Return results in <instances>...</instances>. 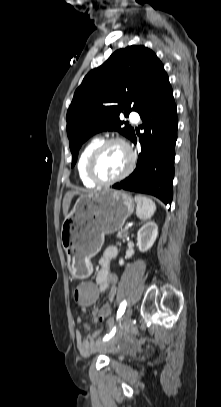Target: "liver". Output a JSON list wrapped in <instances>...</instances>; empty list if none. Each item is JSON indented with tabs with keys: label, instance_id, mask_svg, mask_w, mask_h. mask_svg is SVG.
<instances>
[{
	"label": "liver",
	"instance_id": "1",
	"mask_svg": "<svg viewBox=\"0 0 221 407\" xmlns=\"http://www.w3.org/2000/svg\"><path fill=\"white\" fill-rule=\"evenodd\" d=\"M76 194H78V192L69 191V192H67V193L65 194V196H64V198H63V204H62V206H63V214H64L65 217H67L68 210H69V207H70L72 198H73Z\"/></svg>",
	"mask_w": 221,
	"mask_h": 407
}]
</instances>
